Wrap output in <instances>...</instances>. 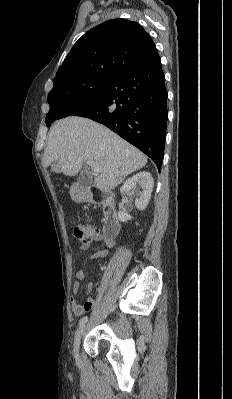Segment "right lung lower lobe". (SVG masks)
Segmentation results:
<instances>
[{
	"label": "right lung lower lobe",
	"instance_id": "1",
	"mask_svg": "<svg viewBox=\"0 0 232 399\" xmlns=\"http://www.w3.org/2000/svg\"><path fill=\"white\" fill-rule=\"evenodd\" d=\"M161 59L153 53L120 71L94 99L69 106L58 118L86 117L104 124L149 156L160 169L168 111Z\"/></svg>",
	"mask_w": 232,
	"mask_h": 399
}]
</instances>
